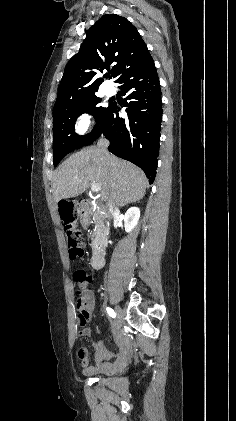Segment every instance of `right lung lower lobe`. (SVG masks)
I'll list each match as a JSON object with an SVG mask.
<instances>
[{
    "label": "right lung lower lobe",
    "mask_w": 236,
    "mask_h": 421,
    "mask_svg": "<svg viewBox=\"0 0 236 421\" xmlns=\"http://www.w3.org/2000/svg\"><path fill=\"white\" fill-rule=\"evenodd\" d=\"M115 82L121 84L119 89L128 100L123 105L127 107L128 118L120 117L116 102L110 103L100 128L83 146L104 134L110 141L108 150L139 166L153 183L159 156L162 101L151 55L127 68Z\"/></svg>",
    "instance_id": "right-lung-lower-lobe-1"
}]
</instances>
